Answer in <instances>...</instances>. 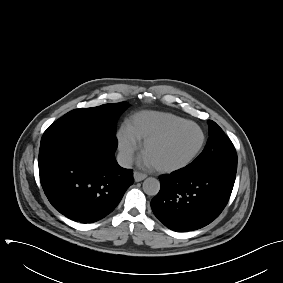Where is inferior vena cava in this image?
<instances>
[{"instance_id":"1","label":"inferior vena cava","mask_w":283,"mask_h":283,"mask_svg":"<svg viewBox=\"0 0 283 283\" xmlns=\"http://www.w3.org/2000/svg\"><path fill=\"white\" fill-rule=\"evenodd\" d=\"M117 162L123 168H131L133 163L132 154L128 152H119L117 155Z\"/></svg>"}]
</instances>
